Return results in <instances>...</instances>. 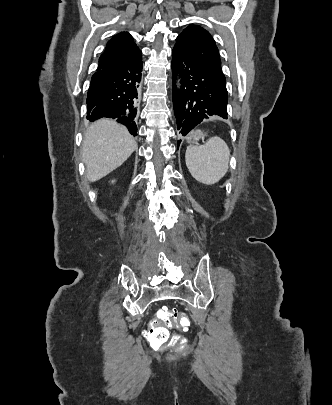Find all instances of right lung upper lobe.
Masks as SVG:
<instances>
[{"mask_svg":"<svg viewBox=\"0 0 332 405\" xmlns=\"http://www.w3.org/2000/svg\"><path fill=\"white\" fill-rule=\"evenodd\" d=\"M141 58V50L131 35L121 32L106 44L104 53L99 58L97 70L120 68Z\"/></svg>","mask_w":332,"mask_h":405,"instance_id":"1","label":"right lung upper lobe"}]
</instances>
